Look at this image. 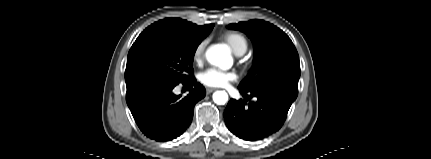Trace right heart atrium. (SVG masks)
<instances>
[{
	"label": "right heart atrium",
	"instance_id": "right-heart-atrium-1",
	"mask_svg": "<svg viewBox=\"0 0 431 159\" xmlns=\"http://www.w3.org/2000/svg\"><path fill=\"white\" fill-rule=\"evenodd\" d=\"M207 40L200 41L194 48L193 59L195 62H200L204 56Z\"/></svg>",
	"mask_w": 431,
	"mask_h": 159
}]
</instances>
